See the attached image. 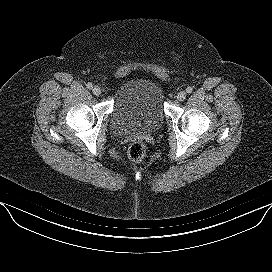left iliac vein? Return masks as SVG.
Listing matches in <instances>:
<instances>
[{"label":"left iliac vein","instance_id":"1","mask_svg":"<svg viewBox=\"0 0 272 272\" xmlns=\"http://www.w3.org/2000/svg\"><path fill=\"white\" fill-rule=\"evenodd\" d=\"M186 95L187 94H186L185 91H180V92H178L176 98H177L178 101H184L185 98H186Z\"/></svg>","mask_w":272,"mask_h":272}]
</instances>
